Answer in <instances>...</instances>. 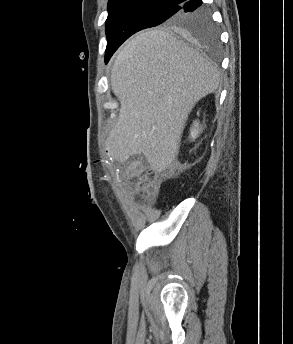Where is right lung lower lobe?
I'll list each match as a JSON object with an SVG mask.
<instances>
[{
  "label": "right lung lower lobe",
  "mask_w": 293,
  "mask_h": 344,
  "mask_svg": "<svg viewBox=\"0 0 293 344\" xmlns=\"http://www.w3.org/2000/svg\"><path fill=\"white\" fill-rule=\"evenodd\" d=\"M201 5L202 0H186L184 3L181 4L180 11L184 13L204 11L205 9ZM108 60H106V62H108Z\"/></svg>",
  "instance_id": "obj_1"
}]
</instances>
